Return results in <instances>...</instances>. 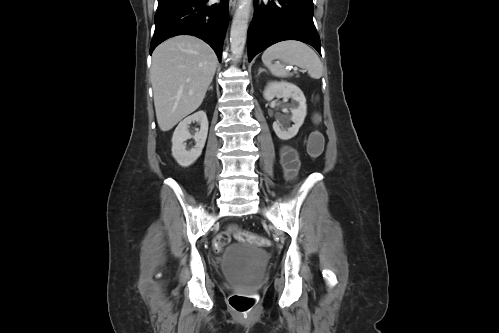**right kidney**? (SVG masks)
Listing matches in <instances>:
<instances>
[{
  "label": "right kidney",
  "mask_w": 499,
  "mask_h": 333,
  "mask_svg": "<svg viewBox=\"0 0 499 333\" xmlns=\"http://www.w3.org/2000/svg\"><path fill=\"white\" fill-rule=\"evenodd\" d=\"M200 123V130L192 136L188 127L192 122ZM208 134V120L204 111H198L193 115L186 117L176 127L172 137V156L182 167L192 165L201 155ZM193 138L196 145L186 150L185 141Z\"/></svg>",
  "instance_id": "obj_1"
}]
</instances>
